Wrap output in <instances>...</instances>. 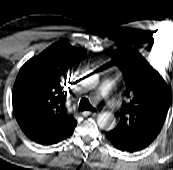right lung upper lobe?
<instances>
[{
  "instance_id": "right-lung-upper-lobe-1",
  "label": "right lung upper lobe",
  "mask_w": 173,
  "mask_h": 170,
  "mask_svg": "<svg viewBox=\"0 0 173 170\" xmlns=\"http://www.w3.org/2000/svg\"><path fill=\"white\" fill-rule=\"evenodd\" d=\"M85 54L59 41L20 69L12 92L13 110L20 128L32 141L55 144L73 132L77 121L65 107L61 78Z\"/></svg>"
}]
</instances>
